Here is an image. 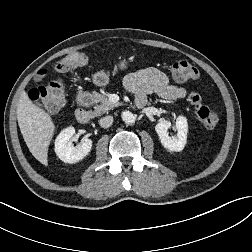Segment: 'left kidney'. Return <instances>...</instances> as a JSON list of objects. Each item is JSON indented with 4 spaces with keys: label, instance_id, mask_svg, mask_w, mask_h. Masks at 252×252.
Instances as JSON below:
<instances>
[{
    "label": "left kidney",
    "instance_id": "obj_1",
    "mask_svg": "<svg viewBox=\"0 0 252 252\" xmlns=\"http://www.w3.org/2000/svg\"><path fill=\"white\" fill-rule=\"evenodd\" d=\"M170 128V121H161L155 126L156 133L158 134L160 142L164 146V148L170 151L180 152L184 149L187 141V119L184 116H179L177 118L175 126L177 136H169L168 130Z\"/></svg>",
    "mask_w": 252,
    "mask_h": 252
}]
</instances>
